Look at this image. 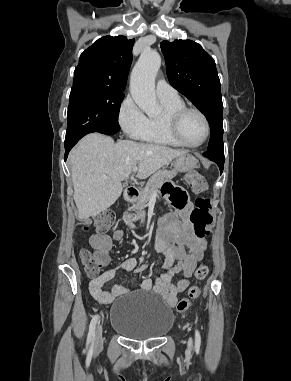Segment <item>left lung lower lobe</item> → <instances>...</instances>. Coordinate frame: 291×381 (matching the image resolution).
<instances>
[{
    "instance_id": "obj_1",
    "label": "left lung lower lobe",
    "mask_w": 291,
    "mask_h": 381,
    "mask_svg": "<svg viewBox=\"0 0 291 381\" xmlns=\"http://www.w3.org/2000/svg\"><path fill=\"white\" fill-rule=\"evenodd\" d=\"M205 157L214 161L220 168V173L223 172L224 167V152H205L203 154Z\"/></svg>"
}]
</instances>
